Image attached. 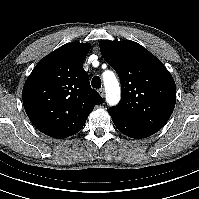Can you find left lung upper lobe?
Segmentation results:
<instances>
[{
	"label": "left lung upper lobe",
	"mask_w": 199,
	"mask_h": 199,
	"mask_svg": "<svg viewBox=\"0 0 199 199\" xmlns=\"http://www.w3.org/2000/svg\"><path fill=\"white\" fill-rule=\"evenodd\" d=\"M100 51L117 72L122 97L112 112L150 132L159 131L176 103V86L163 63L140 44L124 40H102Z\"/></svg>",
	"instance_id": "5c2ea615"
}]
</instances>
